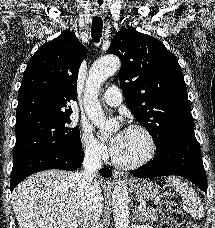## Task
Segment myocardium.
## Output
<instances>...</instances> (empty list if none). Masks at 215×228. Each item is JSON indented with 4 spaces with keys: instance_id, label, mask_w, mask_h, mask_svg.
<instances>
[{
    "instance_id": "f54148a6",
    "label": "myocardium",
    "mask_w": 215,
    "mask_h": 228,
    "mask_svg": "<svg viewBox=\"0 0 215 228\" xmlns=\"http://www.w3.org/2000/svg\"><path fill=\"white\" fill-rule=\"evenodd\" d=\"M128 130L139 131L142 133L146 142V149L139 158L133 161H121L118 160L115 156H112L114 165L121 169H134L143 166L152 159L156 150L154 137L147 127L141 124H133L128 128Z\"/></svg>"
}]
</instances>
